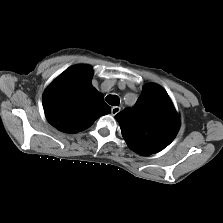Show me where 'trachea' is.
<instances>
[{"instance_id": "trachea-1", "label": "trachea", "mask_w": 223, "mask_h": 223, "mask_svg": "<svg viewBox=\"0 0 223 223\" xmlns=\"http://www.w3.org/2000/svg\"><path fill=\"white\" fill-rule=\"evenodd\" d=\"M105 100L112 106H118L120 103V99L117 95H108Z\"/></svg>"}]
</instances>
